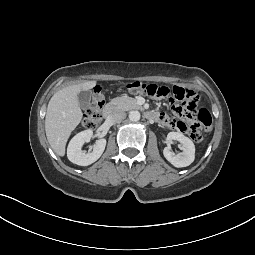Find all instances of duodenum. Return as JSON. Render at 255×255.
Instances as JSON below:
<instances>
[{"label": "duodenum", "instance_id": "1", "mask_svg": "<svg viewBox=\"0 0 255 255\" xmlns=\"http://www.w3.org/2000/svg\"><path fill=\"white\" fill-rule=\"evenodd\" d=\"M114 115H115V108H114L113 106L108 105V106H106V107L104 108V110H103V116H104V118H105L106 120H111V119H113ZM146 115H147V117H148L149 119L157 120V118H158V114H157L156 112H153V111L147 112Z\"/></svg>", "mask_w": 255, "mask_h": 255}]
</instances>
